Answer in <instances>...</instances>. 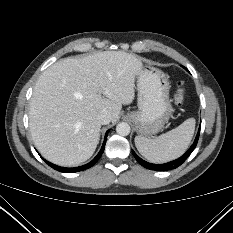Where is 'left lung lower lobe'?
<instances>
[{
    "label": "left lung lower lobe",
    "mask_w": 233,
    "mask_h": 233,
    "mask_svg": "<svg viewBox=\"0 0 233 233\" xmlns=\"http://www.w3.org/2000/svg\"><path fill=\"white\" fill-rule=\"evenodd\" d=\"M200 131V128H199ZM199 131L197 133V136L195 138L194 143L192 144V146L189 148V150L180 158L168 162V163H164V164H152V163H148L146 161H144L143 159H141L133 150L132 153L135 157V159L145 168L149 169V170H156V171H166V170H172L177 168L178 166H180L188 157L189 155L192 153V151L195 149L198 139H199Z\"/></svg>",
    "instance_id": "obj_1"
}]
</instances>
